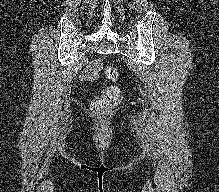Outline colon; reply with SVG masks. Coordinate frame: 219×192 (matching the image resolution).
I'll list each match as a JSON object with an SVG mask.
<instances>
[{
  "label": "colon",
  "instance_id": "1",
  "mask_svg": "<svg viewBox=\"0 0 219 192\" xmlns=\"http://www.w3.org/2000/svg\"><path fill=\"white\" fill-rule=\"evenodd\" d=\"M106 77L110 80L118 78V70L113 66H106L104 69ZM121 97V91L117 86L108 87L104 94L98 97L92 104V112L95 116L101 117L106 115Z\"/></svg>",
  "mask_w": 219,
  "mask_h": 192
}]
</instances>
